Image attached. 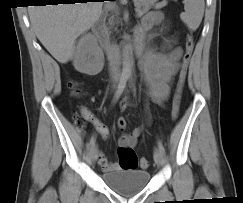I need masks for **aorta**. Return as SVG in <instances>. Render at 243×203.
Wrapping results in <instances>:
<instances>
[{
    "instance_id": "aorta-1",
    "label": "aorta",
    "mask_w": 243,
    "mask_h": 203,
    "mask_svg": "<svg viewBox=\"0 0 243 203\" xmlns=\"http://www.w3.org/2000/svg\"><path fill=\"white\" fill-rule=\"evenodd\" d=\"M133 67L132 48L126 44L123 49V73L130 74Z\"/></svg>"
}]
</instances>
